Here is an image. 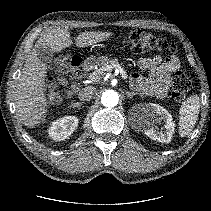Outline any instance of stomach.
Here are the masks:
<instances>
[{"mask_svg":"<svg viewBox=\"0 0 211 211\" xmlns=\"http://www.w3.org/2000/svg\"><path fill=\"white\" fill-rule=\"evenodd\" d=\"M108 60V56L98 57L97 59H90V61L95 62L96 64H102Z\"/></svg>","mask_w":211,"mask_h":211,"instance_id":"0dacf381","label":"stomach"}]
</instances>
